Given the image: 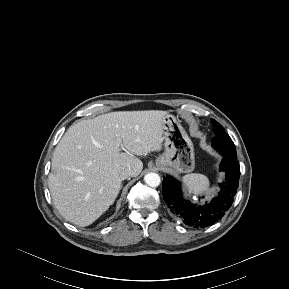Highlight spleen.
Here are the masks:
<instances>
[{
	"instance_id": "3e777b00",
	"label": "spleen",
	"mask_w": 289,
	"mask_h": 289,
	"mask_svg": "<svg viewBox=\"0 0 289 289\" xmlns=\"http://www.w3.org/2000/svg\"><path fill=\"white\" fill-rule=\"evenodd\" d=\"M182 181L190 193L202 195L209 192V180L202 174L193 173L185 175L182 177Z\"/></svg>"
}]
</instances>
